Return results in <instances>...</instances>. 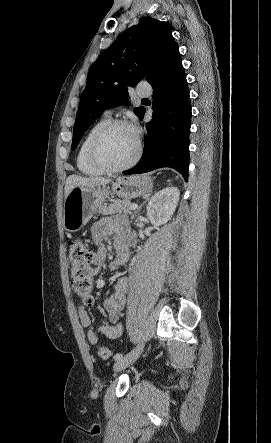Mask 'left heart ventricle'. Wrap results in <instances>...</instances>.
<instances>
[{"label":"left heart ventricle","instance_id":"1","mask_svg":"<svg viewBox=\"0 0 271 443\" xmlns=\"http://www.w3.org/2000/svg\"><path fill=\"white\" fill-rule=\"evenodd\" d=\"M135 148L134 133L127 127L118 126L107 134L101 145L100 153L111 166H120L132 157Z\"/></svg>","mask_w":271,"mask_h":443}]
</instances>
